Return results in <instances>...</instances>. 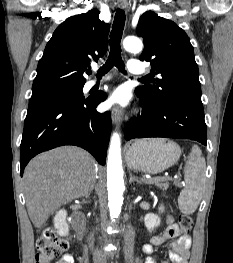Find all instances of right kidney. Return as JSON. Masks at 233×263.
I'll return each instance as SVG.
<instances>
[{"label":"right kidney","mask_w":233,"mask_h":263,"mask_svg":"<svg viewBox=\"0 0 233 263\" xmlns=\"http://www.w3.org/2000/svg\"><path fill=\"white\" fill-rule=\"evenodd\" d=\"M66 217L67 212L64 209L59 210L54 217V226L60 236H66L69 233V226L66 222Z\"/></svg>","instance_id":"ca27d5eb"}]
</instances>
